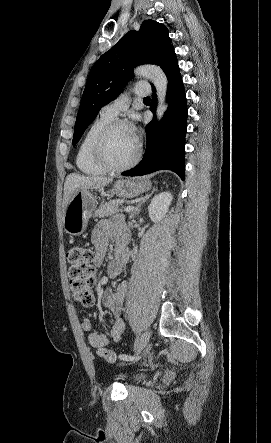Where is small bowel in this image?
<instances>
[{
  "label": "small bowel",
  "instance_id": "obj_1",
  "mask_svg": "<svg viewBox=\"0 0 271 443\" xmlns=\"http://www.w3.org/2000/svg\"><path fill=\"white\" fill-rule=\"evenodd\" d=\"M111 237H119V233L106 221L100 222L92 235L94 246V263L99 266L102 264L108 249V241ZM127 260V251L124 247H119L115 259L109 265V273L112 276L120 274L123 264ZM127 286L125 282L119 283L115 288L108 290L103 296V306L113 316V322L110 327L95 330V325L88 317H83L81 326L88 333V342L94 347L101 349L109 342H118L121 340L125 322L122 318V308L126 294Z\"/></svg>",
  "mask_w": 271,
  "mask_h": 443
}]
</instances>
